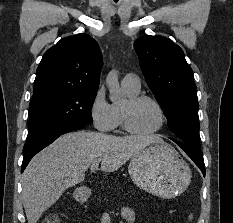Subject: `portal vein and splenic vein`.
<instances>
[{"label": "portal vein and splenic vein", "instance_id": "1", "mask_svg": "<svg viewBox=\"0 0 233 223\" xmlns=\"http://www.w3.org/2000/svg\"><path fill=\"white\" fill-rule=\"evenodd\" d=\"M100 161H93L91 167H93V169H95V167H98Z\"/></svg>", "mask_w": 233, "mask_h": 223}]
</instances>
